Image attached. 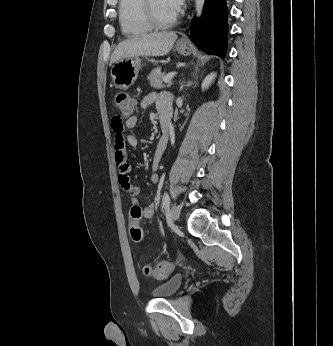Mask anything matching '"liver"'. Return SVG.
I'll use <instances>...</instances> for the list:
<instances>
[{"label": "liver", "instance_id": "obj_1", "mask_svg": "<svg viewBox=\"0 0 333 346\" xmlns=\"http://www.w3.org/2000/svg\"><path fill=\"white\" fill-rule=\"evenodd\" d=\"M177 34L174 32H160L143 34L120 42L111 56V63L122 58L138 56H164L170 52Z\"/></svg>", "mask_w": 333, "mask_h": 346}]
</instances>
